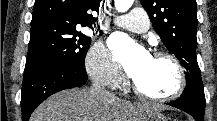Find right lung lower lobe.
Instances as JSON below:
<instances>
[{
    "instance_id": "right-lung-lower-lobe-1",
    "label": "right lung lower lobe",
    "mask_w": 217,
    "mask_h": 121,
    "mask_svg": "<svg viewBox=\"0 0 217 121\" xmlns=\"http://www.w3.org/2000/svg\"><path fill=\"white\" fill-rule=\"evenodd\" d=\"M86 71L68 65H42L24 71L21 95L22 119L27 121L35 108L50 95L87 81Z\"/></svg>"
}]
</instances>
